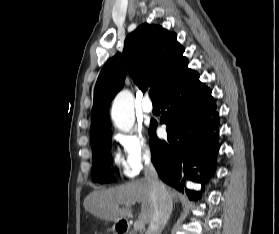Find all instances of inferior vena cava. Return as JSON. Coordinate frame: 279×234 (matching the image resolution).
<instances>
[{"label": "inferior vena cava", "mask_w": 279, "mask_h": 234, "mask_svg": "<svg viewBox=\"0 0 279 234\" xmlns=\"http://www.w3.org/2000/svg\"><path fill=\"white\" fill-rule=\"evenodd\" d=\"M144 174L145 179L151 184L153 200V214L146 234H161L172 211V200L166 186L158 179L156 169L151 163L146 165Z\"/></svg>", "instance_id": "1"}]
</instances>
